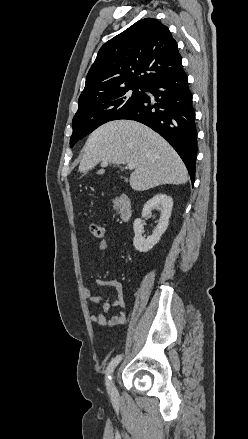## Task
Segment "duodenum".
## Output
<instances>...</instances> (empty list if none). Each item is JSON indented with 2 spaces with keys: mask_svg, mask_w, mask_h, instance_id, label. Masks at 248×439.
Returning a JSON list of instances; mask_svg holds the SVG:
<instances>
[{
  "mask_svg": "<svg viewBox=\"0 0 248 439\" xmlns=\"http://www.w3.org/2000/svg\"><path fill=\"white\" fill-rule=\"evenodd\" d=\"M115 207L123 222H128L132 216V205L130 196L121 191L116 198Z\"/></svg>",
  "mask_w": 248,
  "mask_h": 439,
  "instance_id": "1",
  "label": "duodenum"
}]
</instances>
